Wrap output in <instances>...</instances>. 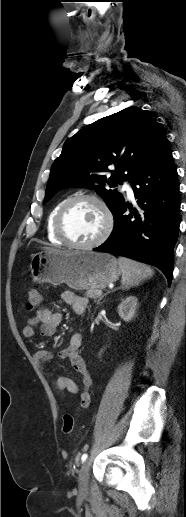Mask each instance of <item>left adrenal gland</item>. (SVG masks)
Listing matches in <instances>:
<instances>
[{
    "mask_svg": "<svg viewBox=\"0 0 186 517\" xmlns=\"http://www.w3.org/2000/svg\"><path fill=\"white\" fill-rule=\"evenodd\" d=\"M105 295H106V294H104V295H103V296L98 300L97 304H99V303H100V300H101Z\"/></svg>",
    "mask_w": 186,
    "mask_h": 517,
    "instance_id": "left-adrenal-gland-1",
    "label": "left adrenal gland"
}]
</instances>
